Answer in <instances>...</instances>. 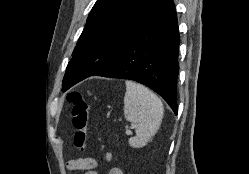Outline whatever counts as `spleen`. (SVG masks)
Masks as SVG:
<instances>
[{
	"label": "spleen",
	"mask_w": 249,
	"mask_h": 174,
	"mask_svg": "<svg viewBox=\"0 0 249 174\" xmlns=\"http://www.w3.org/2000/svg\"><path fill=\"white\" fill-rule=\"evenodd\" d=\"M164 108L162 101L145 86L126 81L124 115L136 126V136L129 139L131 147L141 148L157 133Z\"/></svg>",
	"instance_id": "spleen-1"
}]
</instances>
